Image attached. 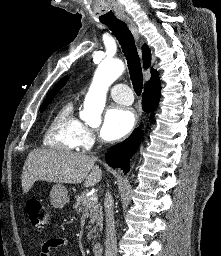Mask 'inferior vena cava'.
<instances>
[{"mask_svg":"<svg viewBox=\"0 0 221 256\" xmlns=\"http://www.w3.org/2000/svg\"><path fill=\"white\" fill-rule=\"evenodd\" d=\"M104 206H105V215H106L105 256H116L117 241H116L115 221H114V212H113V198L109 191H107L105 194Z\"/></svg>","mask_w":221,"mask_h":256,"instance_id":"obj_1","label":"inferior vena cava"}]
</instances>
